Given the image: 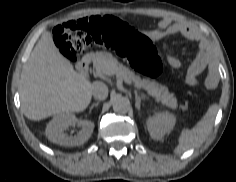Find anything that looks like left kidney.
Here are the masks:
<instances>
[{"instance_id":"obj_1","label":"left kidney","mask_w":236,"mask_h":182,"mask_svg":"<svg viewBox=\"0 0 236 182\" xmlns=\"http://www.w3.org/2000/svg\"><path fill=\"white\" fill-rule=\"evenodd\" d=\"M176 123V117L168 112H158L147 119V129L154 140H162L165 134L169 133Z\"/></svg>"}]
</instances>
